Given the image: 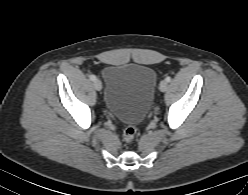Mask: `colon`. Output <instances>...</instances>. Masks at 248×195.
Here are the masks:
<instances>
[{
    "mask_svg": "<svg viewBox=\"0 0 248 195\" xmlns=\"http://www.w3.org/2000/svg\"><path fill=\"white\" fill-rule=\"evenodd\" d=\"M136 127L134 125H128L125 127L123 131V140L127 144H130L133 142L135 136H136Z\"/></svg>",
    "mask_w": 248,
    "mask_h": 195,
    "instance_id": "colon-1",
    "label": "colon"
}]
</instances>
